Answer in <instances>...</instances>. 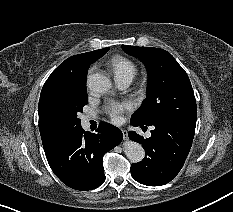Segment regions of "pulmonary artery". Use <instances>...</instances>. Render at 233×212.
<instances>
[{
    "label": "pulmonary artery",
    "instance_id": "1",
    "mask_svg": "<svg viewBox=\"0 0 233 212\" xmlns=\"http://www.w3.org/2000/svg\"><path fill=\"white\" fill-rule=\"evenodd\" d=\"M131 81V79H116V84L119 88L125 89L130 85ZM87 120L88 118H86V121Z\"/></svg>",
    "mask_w": 233,
    "mask_h": 212
}]
</instances>
